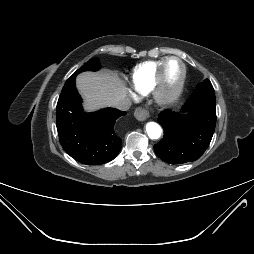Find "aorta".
Returning a JSON list of instances; mask_svg holds the SVG:
<instances>
[{
	"label": "aorta",
	"instance_id": "aorta-1",
	"mask_svg": "<svg viewBox=\"0 0 254 254\" xmlns=\"http://www.w3.org/2000/svg\"><path fill=\"white\" fill-rule=\"evenodd\" d=\"M146 132L151 139H158L162 134L160 125L155 122H149L146 125Z\"/></svg>",
	"mask_w": 254,
	"mask_h": 254
}]
</instances>
